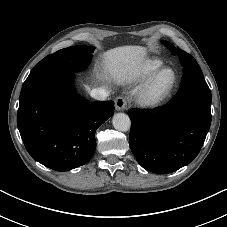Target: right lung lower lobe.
<instances>
[{"mask_svg": "<svg viewBox=\"0 0 227 227\" xmlns=\"http://www.w3.org/2000/svg\"><path fill=\"white\" fill-rule=\"evenodd\" d=\"M74 73L55 74L23 85L17 125L33 159L56 171L84 165L96 149L95 132L114 113V102L77 95Z\"/></svg>", "mask_w": 227, "mask_h": 227, "instance_id": "98d812e1", "label": "right lung lower lobe"}]
</instances>
